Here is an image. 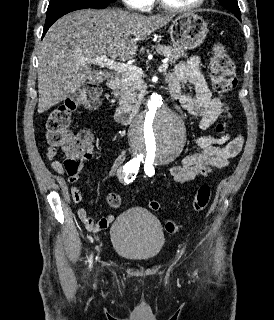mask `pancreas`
Listing matches in <instances>:
<instances>
[{
	"instance_id": "pancreas-1",
	"label": "pancreas",
	"mask_w": 274,
	"mask_h": 320,
	"mask_svg": "<svg viewBox=\"0 0 274 320\" xmlns=\"http://www.w3.org/2000/svg\"><path fill=\"white\" fill-rule=\"evenodd\" d=\"M157 54L168 58L169 62L176 64L179 58H186L184 50L181 48H171V46H157ZM146 86L142 78H131L129 74L127 76H121V86L117 90H113L112 94L115 98H119L118 104L120 108H126V110H132L137 112L141 104V94H144Z\"/></svg>"
}]
</instances>
